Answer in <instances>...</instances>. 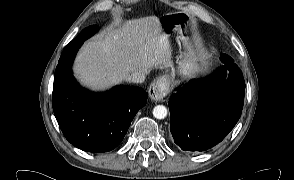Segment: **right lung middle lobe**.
I'll return each instance as SVG.
<instances>
[{
	"label": "right lung middle lobe",
	"instance_id": "dd1d6c3e",
	"mask_svg": "<svg viewBox=\"0 0 294 180\" xmlns=\"http://www.w3.org/2000/svg\"><path fill=\"white\" fill-rule=\"evenodd\" d=\"M97 31H98V27L95 25L85 28L73 41L67 44L65 48L77 43H82L83 41L91 37L94 33H96Z\"/></svg>",
	"mask_w": 294,
	"mask_h": 180
}]
</instances>
